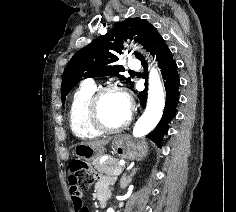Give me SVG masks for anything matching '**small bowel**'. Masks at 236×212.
Wrapping results in <instances>:
<instances>
[{
  "instance_id": "small-bowel-1",
  "label": "small bowel",
  "mask_w": 236,
  "mask_h": 212,
  "mask_svg": "<svg viewBox=\"0 0 236 212\" xmlns=\"http://www.w3.org/2000/svg\"><path fill=\"white\" fill-rule=\"evenodd\" d=\"M66 179L70 186L67 188L69 192L67 198H69V202H72L75 212H86L82 202V194L84 190L88 189V186L82 185L78 175H67ZM107 186L108 182H104L99 185L98 189L107 190Z\"/></svg>"
}]
</instances>
